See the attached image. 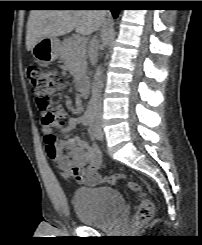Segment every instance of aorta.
Masks as SVG:
<instances>
[{
    "instance_id": "aorta-1",
    "label": "aorta",
    "mask_w": 202,
    "mask_h": 245,
    "mask_svg": "<svg viewBox=\"0 0 202 245\" xmlns=\"http://www.w3.org/2000/svg\"><path fill=\"white\" fill-rule=\"evenodd\" d=\"M102 87V66H99L96 70V73L92 82V92L99 94Z\"/></svg>"
}]
</instances>
